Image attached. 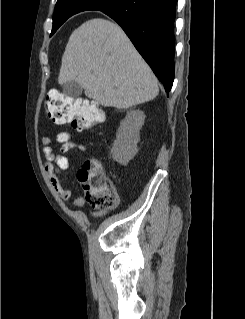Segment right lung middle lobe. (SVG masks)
<instances>
[{"label":"right lung middle lobe","instance_id":"right-lung-middle-lobe-1","mask_svg":"<svg viewBox=\"0 0 245 319\" xmlns=\"http://www.w3.org/2000/svg\"><path fill=\"white\" fill-rule=\"evenodd\" d=\"M122 0H83L80 3V7L85 10H102L117 5ZM70 1H57L55 6V12L53 17V28L51 35L62 25L69 17Z\"/></svg>","mask_w":245,"mask_h":319}]
</instances>
